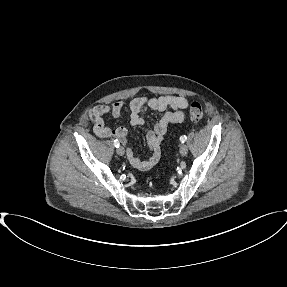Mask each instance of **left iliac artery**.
Segmentation results:
<instances>
[{
  "label": "left iliac artery",
  "instance_id": "44dca946",
  "mask_svg": "<svg viewBox=\"0 0 287 287\" xmlns=\"http://www.w3.org/2000/svg\"><path fill=\"white\" fill-rule=\"evenodd\" d=\"M186 139H187V137L185 135L180 137V141L182 143H184L186 141Z\"/></svg>",
  "mask_w": 287,
  "mask_h": 287
}]
</instances>
